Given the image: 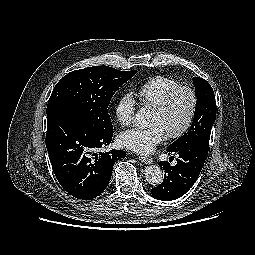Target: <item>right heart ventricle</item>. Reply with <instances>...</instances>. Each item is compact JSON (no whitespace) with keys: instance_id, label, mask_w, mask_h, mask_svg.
<instances>
[{"instance_id":"e07e8e85","label":"right heart ventricle","mask_w":255,"mask_h":255,"mask_svg":"<svg viewBox=\"0 0 255 255\" xmlns=\"http://www.w3.org/2000/svg\"><path fill=\"white\" fill-rule=\"evenodd\" d=\"M179 82L168 76H154L142 83L135 95L144 106L154 107L166 93L179 86Z\"/></svg>"}]
</instances>
